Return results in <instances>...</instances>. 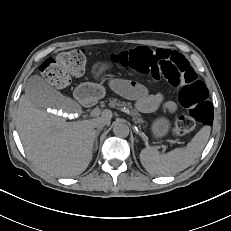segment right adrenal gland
Masks as SVG:
<instances>
[{"mask_svg":"<svg viewBox=\"0 0 231 231\" xmlns=\"http://www.w3.org/2000/svg\"><path fill=\"white\" fill-rule=\"evenodd\" d=\"M101 130H102V129L96 130V137H95V143H94V150H96L97 147H98V136H99V133H100Z\"/></svg>","mask_w":231,"mask_h":231,"instance_id":"right-adrenal-gland-1","label":"right adrenal gland"}]
</instances>
